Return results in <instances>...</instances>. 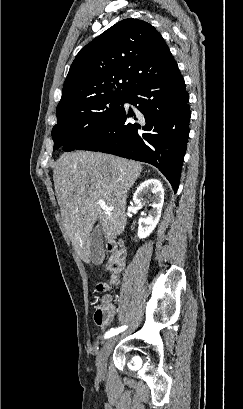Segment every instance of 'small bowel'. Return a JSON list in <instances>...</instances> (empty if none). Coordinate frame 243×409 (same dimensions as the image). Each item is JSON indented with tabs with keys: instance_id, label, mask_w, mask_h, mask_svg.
<instances>
[{
	"instance_id": "c3829d8e",
	"label": "small bowel",
	"mask_w": 243,
	"mask_h": 409,
	"mask_svg": "<svg viewBox=\"0 0 243 409\" xmlns=\"http://www.w3.org/2000/svg\"><path fill=\"white\" fill-rule=\"evenodd\" d=\"M101 303L103 305L107 306L109 308V310H110L109 316L107 317L106 321L101 325V329L105 330L112 322L113 314L115 312V306L112 303V297L110 295H104L101 298Z\"/></svg>"
}]
</instances>
